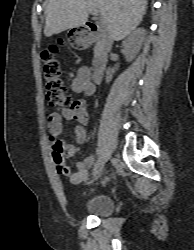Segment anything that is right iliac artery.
Masks as SVG:
<instances>
[{
	"instance_id": "obj_1",
	"label": "right iliac artery",
	"mask_w": 194,
	"mask_h": 250,
	"mask_svg": "<svg viewBox=\"0 0 194 250\" xmlns=\"http://www.w3.org/2000/svg\"><path fill=\"white\" fill-rule=\"evenodd\" d=\"M100 159V158H99ZM98 163V161L94 164V168H95V166H96V164Z\"/></svg>"
}]
</instances>
